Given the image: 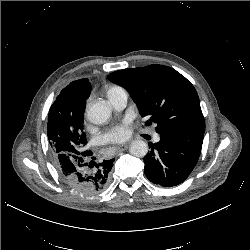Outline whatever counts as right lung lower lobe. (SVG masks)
<instances>
[{"label":"right lung lower lobe","instance_id":"1","mask_svg":"<svg viewBox=\"0 0 250 250\" xmlns=\"http://www.w3.org/2000/svg\"><path fill=\"white\" fill-rule=\"evenodd\" d=\"M92 154L87 150L84 156L72 155L75 157L73 159L68 154L61 153L55 160L56 169L61 177L83 196L100 193L107 186L109 172L113 167V159L99 163L93 160L88 162Z\"/></svg>","mask_w":250,"mask_h":250}]
</instances>
